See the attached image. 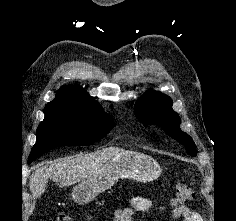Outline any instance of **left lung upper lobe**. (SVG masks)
I'll return each mask as SVG.
<instances>
[{"label":"left lung upper lobe","instance_id":"obj_1","mask_svg":"<svg viewBox=\"0 0 236 221\" xmlns=\"http://www.w3.org/2000/svg\"><path fill=\"white\" fill-rule=\"evenodd\" d=\"M171 98L158 91H148L135 103V114L147 126L156 124L169 136L185 145L189 155H196L193 139L180 129V117L172 110Z\"/></svg>","mask_w":236,"mask_h":221}]
</instances>
